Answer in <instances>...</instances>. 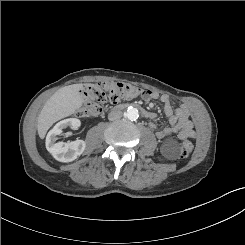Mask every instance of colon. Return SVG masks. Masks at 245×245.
<instances>
[{"label": "colon", "mask_w": 245, "mask_h": 245, "mask_svg": "<svg viewBox=\"0 0 245 245\" xmlns=\"http://www.w3.org/2000/svg\"><path fill=\"white\" fill-rule=\"evenodd\" d=\"M144 91L134 85L122 82H102L89 84L84 89V101L78 111L79 116L91 117L102 112L105 103L117 104L122 100L143 96ZM193 151V144L182 142L180 146L181 158L188 157Z\"/></svg>", "instance_id": "colon-1"}]
</instances>
